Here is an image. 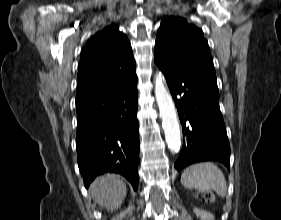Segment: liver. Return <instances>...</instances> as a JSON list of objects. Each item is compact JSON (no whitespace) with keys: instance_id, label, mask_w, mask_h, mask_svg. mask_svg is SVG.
<instances>
[{"instance_id":"liver-1","label":"liver","mask_w":281,"mask_h":220,"mask_svg":"<svg viewBox=\"0 0 281 220\" xmlns=\"http://www.w3.org/2000/svg\"><path fill=\"white\" fill-rule=\"evenodd\" d=\"M90 193L98 205L113 211L123 203L127 188L118 175L107 174L97 177L91 183Z\"/></svg>"}]
</instances>
